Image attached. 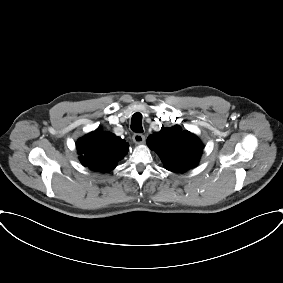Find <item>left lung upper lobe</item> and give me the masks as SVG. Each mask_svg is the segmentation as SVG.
Listing matches in <instances>:
<instances>
[{
    "mask_svg": "<svg viewBox=\"0 0 283 283\" xmlns=\"http://www.w3.org/2000/svg\"><path fill=\"white\" fill-rule=\"evenodd\" d=\"M147 145L154 150L169 171L180 173L197 165L203 149L199 139L189 131L175 125L161 128L150 135Z\"/></svg>",
    "mask_w": 283,
    "mask_h": 283,
    "instance_id": "left-lung-upper-lobe-1",
    "label": "left lung upper lobe"
}]
</instances>
